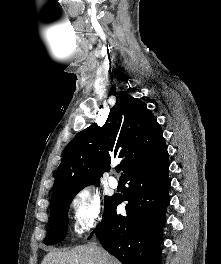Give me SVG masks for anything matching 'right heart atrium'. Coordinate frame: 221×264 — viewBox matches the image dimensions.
Masks as SVG:
<instances>
[{"mask_svg": "<svg viewBox=\"0 0 221 264\" xmlns=\"http://www.w3.org/2000/svg\"><path fill=\"white\" fill-rule=\"evenodd\" d=\"M72 230L83 236L101 223L103 204L98 195L89 188L79 190L70 202Z\"/></svg>", "mask_w": 221, "mask_h": 264, "instance_id": "right-heart-atrium-1", "label": "right heart atrium"}]
</instances>
